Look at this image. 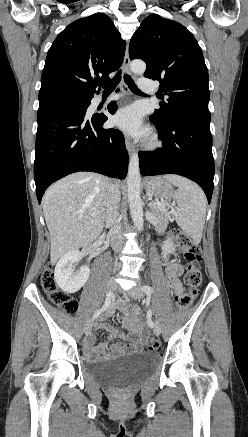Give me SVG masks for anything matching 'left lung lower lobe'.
Segmentation results:
<instances>
[{"label": "left lung lower lobe", "instance_id": "obj_1", "mask_svg": "<svg viewBox=\"0 0 248 437\" xmlns=\"http://www.w3.org/2000/svg\"><path fill=\"white\" fill-rule=\"evenodd\" d=\"M150 120L157 126L163 147L159 151L139 153L141 174L187 177L201 186L210 203L214 178L210 112L176 113L167 123L155 115Z\"/></svg>", "mask_w": 248, "mask_h": 437}]
</instances>
